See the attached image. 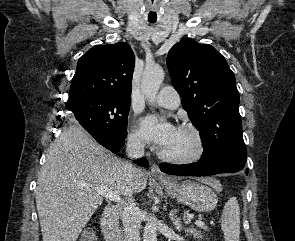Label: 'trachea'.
Instances as JSON below:
<instances>
[{
	"instance_id": "trachea-1",
	"label": "trachea",
	"mask_w": 295,
	"mask_h": 241,
	"mask_svg": "<svg viewBox=\"0 0 295 241\" xmlns=\"http://www.w3.org/2000/svg\"><path fill=\"white\" fill-rule=\"evenodd\" d=\"M155 21H150V23H154Z\"/></svg>"
}]
</instances>
